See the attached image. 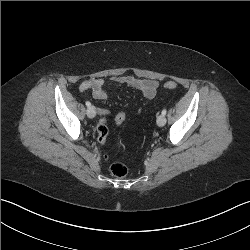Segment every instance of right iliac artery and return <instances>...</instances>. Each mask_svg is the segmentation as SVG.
Segmentation results:
<instances>
[{"label": "right iliac artery", "mask_w": 250, "mask_h": 250, "mask_svg": "<svg viewBox=\"0 0 250 250\" xmlns=\"http://www.w3.org/2000/svg\"><path fill=\"white\" fill-rule=\"evenodd\" d=\"M85 104H86L87 107H90V106H91V103H90L89 101H86Z\"/></svg>", "instance_id": "right-iliac-artery-1"}]
</instances>
